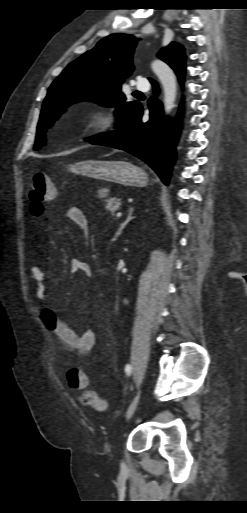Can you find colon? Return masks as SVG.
Segmentation results:
<instances>
[{"label":"colon","instance_id":"obj_1","mask_svg":"<svg viewBox=\"0 0 247 513\" xmlns=\"http://www.w3.org/2000/svg\"><path fill=\"white\" fill-rule=\"evenodd\" d=\"M56 189L50 176L36 174L29 187L30 212L33 216L42 214L45 203L51 201ZM70 388L83 392V401L96 410H103L105 402L89 388L88 376L79 370H70L67 375Z\"/></svg>","mask_w":247,"mask_h":513}]
</instances>
